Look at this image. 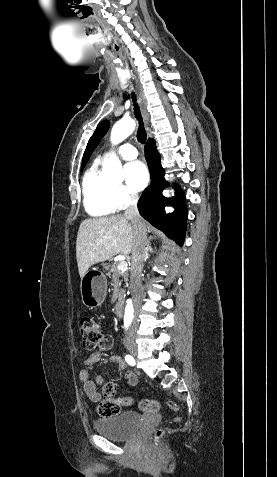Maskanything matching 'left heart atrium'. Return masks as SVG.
<instances>
[{
	"label": "left heart atrium",
	"mask_w": 277,
	"mask_h": 477,
	"mask_svg": "<svg viewBox=\"0 0 277 477\" xmlns=\"http://www.w3.org/2000/svg\"><path fill=\"white\" fill-rule=\"evenodd\" d=\"M124 173L127 186L134 192L142 190L148 183L149 174L147 168L140 161L126 164L124 167Z\"/></svg>",
	"instance_id": "39dd6f15"
}]
</instances>
